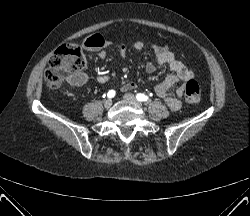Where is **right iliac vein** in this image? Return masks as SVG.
I'll return each instance as SVG.
<instances>
[{
  "mask_svg": "<svg viewBox=\"0 0 250 216\" xmlns=\"http://www.w3.org/2000/svg\"><path fill=\"white\" fill-rule=\"evenodd\" d=\"M112 106V100L111 99H107L104 101V107L105 108H110Z\"/></svg>",
  "mask_w": 250,
  "mask_h": 216,
  "instance_id": "63e3f726",
  "label": "right iliac vein"
}]
</instances>
